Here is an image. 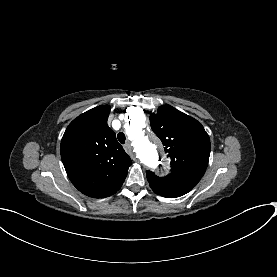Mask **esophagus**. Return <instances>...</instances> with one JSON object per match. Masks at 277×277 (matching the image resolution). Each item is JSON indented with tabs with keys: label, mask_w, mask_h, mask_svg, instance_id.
Listing matches in <instances>:
<instances>
[{
	"label": "esophagus",
	"mask_w": 277,
	"mask_h": 277,
	"mask_svg": "<svg viewBox=\"0 0 277 277\" xmlns=\"http://www.w3.org/2000/svg\"><path fill=\"white\" fill-rule=\"evenodd\" d=\"M124 148H125L126 151H131V150H132V146H131V144H130V141H127V142L125 143ZM133 160H134V161H137V159H136L135 156H133Z\"/></svg>",
	"instance_id": "1"
}]
</instances>
